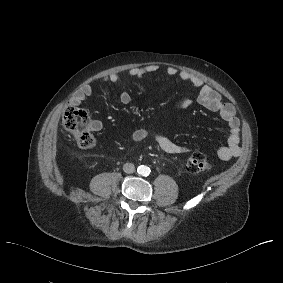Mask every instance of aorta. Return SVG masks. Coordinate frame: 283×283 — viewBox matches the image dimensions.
<instances>
[{"mask_svg":"<svg viewBox=\"0 0 283 283\" xmlns=\"http://www.w3.org/2000/svg\"><path fill=\"white\" fill-rule=\"evenodd\" d=\"M137 172L142 176H148L150 174V168L146 165H140L137 168Z\"/></svg>","mask_w":283,"mask_h":283,"instance_id":"aorta-1","label":"aorta"}]
</instances>
